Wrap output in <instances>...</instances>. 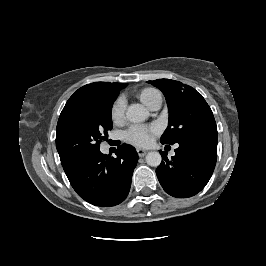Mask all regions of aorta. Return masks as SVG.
<instances>
[{
    "label": "aorta",
    "instance_id": "762f6f07",
    "mask_svg": "<svg viewBox=\"0 0 266 266\" xmlns=\"http://www.w3.org/2000/svg\"><path fill=\"white\" fill-rule=\"evenodd\" d=\"M149 116L148 110L141 104H132L127 108L126 117L130 122L140 123L145 121ZM162 161L159 152H149L146 155V163L149 166L157 167Z\"/></svg>",
    "mask_w": 266,
    "mask_h": 266
}]
</instances>
